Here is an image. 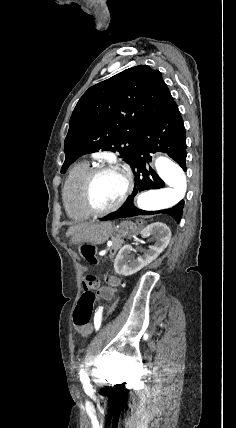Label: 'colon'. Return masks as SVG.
Masks as SVG:
<instances>
[{
	"label": "colon",
	"mask_w": 236,
	"mask_h": 428,
	"mask_svg": "<svg viewBox=\"0 0 236 428\" xmlns=\"http://www.w3.org/2000/svg\"><path fill=\"white\" fill-rule=\"evenodd\" d=\"M80 252L88 262L92 264H96L98 262V259L96 257V249L93 245H82L80 247ZM98 286L99 280L94 275H86L84 277V293L82 294L73 315L74 325L79 331H83L89 324L94 308V303L96 300L94 290H96ZM115 304L116 303H114L111 310L114 308Z\"/></svg>",
	"instance_id": "colon-1"
}]
</instances>
